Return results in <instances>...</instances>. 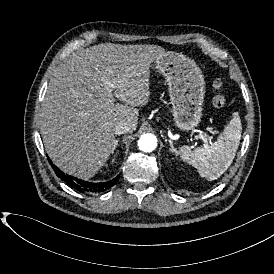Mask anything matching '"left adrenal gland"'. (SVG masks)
Instances as JSON below:
<instances>
[{
	"instance_id": "obj_1",
	"label": "left adrenal gland",
	"mask_w": 274,
	"mask_h": 274,
	"mask_svg": "<svg viewBox=\"0 0 274 274\" xmlns=\"http://www.w3.org/2000/svg\"><path fill=\"white\" fill-rule=\"evenodd\" d=\"M170 143V151L174 152L176 155H179L180 152L176 150V148H174L173 142L171 140H169Z\"/></svg>"
}]
</instances>
